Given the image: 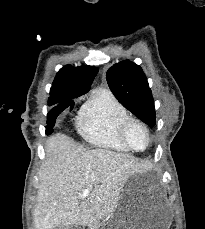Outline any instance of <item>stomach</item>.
I'll list each match as a JSON object with an SVG mask.
<instances>
[{
	"instance_id": "1",
	"label": "stomach",
	"mask_w": 205,
	"mask_h": 229,
	"mask_svg": "<svg viewBox=\"0 0 205 229\" xmlns=\"http://www.w3.org/2000/svg\"><path fill=\"white\" fill-rule=\"evenodd\" d=\"M172 213L158 196L142 195L127 185L102 229H169ZM92 226V225H91Z\"/></svg>"
}]
</instances>
